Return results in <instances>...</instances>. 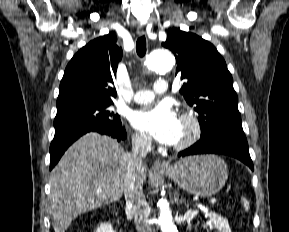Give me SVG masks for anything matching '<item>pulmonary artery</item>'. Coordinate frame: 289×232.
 <instances>
[{
  "instance_id": "1",
  "label": "pulmonary artery",
  "mask_w": 289,
  "mask_h": 232,
  "mask_svg": "<svg viewBox=\"0 0 289 232\" xmlns=\"http://www.w3.org/2000/svg\"><path fill=\"white\" fill-rule=\"evenodd\" d=\"M168 89V83L164 79H159L155 82L153 90H140L134 95L133 101L139 104L151 102L156 94H163Z\"/></svg>"
}]
</instances>
